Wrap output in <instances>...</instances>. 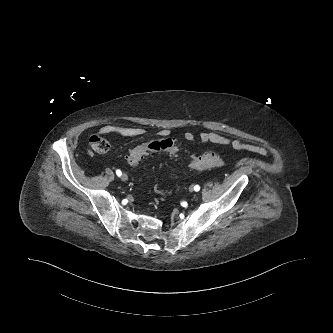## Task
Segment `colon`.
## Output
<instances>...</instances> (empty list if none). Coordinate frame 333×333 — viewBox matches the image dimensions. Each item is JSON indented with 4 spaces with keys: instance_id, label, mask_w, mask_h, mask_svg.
Returning a JSON list of instances; mask_svg holds the SVG:
<instances>
[{
    "instance_id": "obj_1",
    "label": "colon",
    "mask_w": 333,
    "mask_h": 333,
    "mask_svg": "<svg viewBox=\"0 0 333 333\" xmlns=\"http://www.w3.org/2000/svg\"><path fill=\"white\" fill-rule=\"evenodd\" d=\"M91 147L99 152L105 153L110 150V141L101 135H93L90 138ZM157 151H167L170 154H176L178 147L176 141L172 138L164 137L150 142H145L132 148L125 157L128 166L136 167L150 153ZM223 164V160L215 152H206L198 157H195L190 162V167L193 170H204L219 167Z\"/></svg>"
}]
</instances>
